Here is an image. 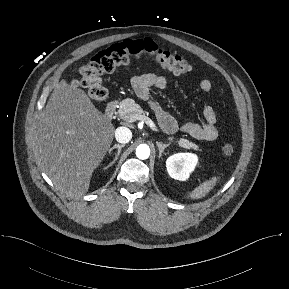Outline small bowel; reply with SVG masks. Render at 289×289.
Returning a JSON list of instances; mask_svg holds the SVG:
<instances>
[{
	"label": "small bowel",
	"instance_id": "small-bowel-1",
	"mask_svg": "<svg viewBox=\"0 0 289 289\" xmlns=\"http://www.w3.org/2000/svg\"><path fill=\"white\" fill-rule=\"evenodd\" d=\"M132 86L138 97L147 100L150 98V90L152 88L164 90L167 87V79L153 73L142 74L133 79ZM198 86L201 91L208 92L212 89V82L209 79H202ZM154 109L162 128L168 133H174L180 129L199 140L212 141L218 137L216 113L209 105L203 107L202 112L205 118V123L203 124L186 121L179 125L174 117L160 106L155 105Z\"/></svg>",
	"mask_w": 289,
	"mask_h": 289
}]
</instances>
